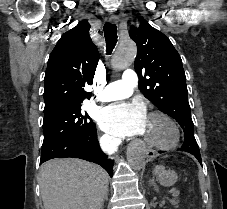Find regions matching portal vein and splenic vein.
I'll return each mask as SVG.
<instances>
[{
	"instance_id": "obj_1",
	"label": "portal vein and splenic vein",
	"mask_w": 227,
	"mask_h": 209,
	"mask_svg": "<svg viewBox=\"0 0 227 209\" xmlns=\"http://www.w3.org/2000/svg\"><path fill=\"white\" fill-rule=\"evenodd\" d=\"M165 193H168V194H170L171 192L173 193L171 196L173 197V198H177L178 197V191L177 190H174L173 188L170 190V189H168V190H165L164 191Z\"/></svg>"
}]
</instances>
